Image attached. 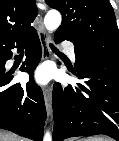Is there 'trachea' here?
I'll return each instance as SVG.
<instances>
[{"label":"trachea","instance_id":"trachea-1","mask_svg":"<svg viewBox=\"0 0 119 141\" xmlns=\"http://www.w3.org/2000/svg\"><path fill=\"white\" fill-rule=\"evenodd\" d=\"M51 48L53 51H56V52L58 51L53 45H51Z\"/></svg>","mask_w":119,"mask_h":141}]
</instances>
